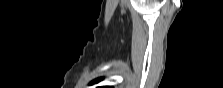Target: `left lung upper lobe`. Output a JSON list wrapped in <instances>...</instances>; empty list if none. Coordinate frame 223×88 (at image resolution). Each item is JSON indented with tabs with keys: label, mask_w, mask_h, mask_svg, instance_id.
Wrapping results in <instances>:
<instances>
[{
	"label": "left lung upper lobe",
	"mask_w": 223,
	"mask_h": 88,
	"mask_svg": "<svg viewBox=\"0 0 223 88\" xmlns=\"http://www.w3.org/2000/svg\"><path fill=\"white\" fill-rule=\"evenodd\" d=\"M100 80H102V78H98V79L92 81L91 84L97 83V82H99ZM98 88H113V87H111V86H101V87H98Z\"/></svg>",
	"instance_id": "obj_1"
}]
</instances>
